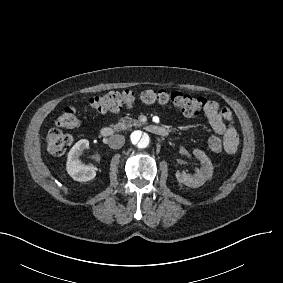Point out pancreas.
I'll return each instance as SVG.
<instances>
[{
	"label": "pancreas",
	"instance_id": "cf45deb5",
	"mask_svg": "<svg viewBox=\"0 0 283 283\" xmlns=\"http://www.w3.org/2000/svg\"><path fill=\"white\" fill-rule=\"evenodd\" d=\"M139 125L138 121L133 118H120L118 122H115L111 126L115 128L117 131L119 130H126L132 126Z\"/></svg>",
	"mask_w": 283,
	"mask_h": 283
}]
</instances>
